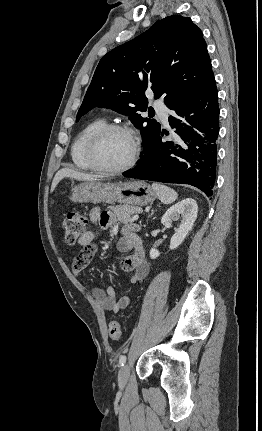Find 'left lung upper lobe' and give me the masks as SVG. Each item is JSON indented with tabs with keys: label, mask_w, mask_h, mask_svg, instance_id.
Segmentation results:
<instances>
[{
	"label": "left lung upper lobe",
	"mask_w": 262,
	"mask_h": 431,
	"mask_svg": "<svg viewBox=\"0 0 262 431\" xmlns=\"http://www.w3.org/2000/svg\"><path fill=\"white\" fill-rule=\"evenodd\" d=\"M213 78L201 30L189 17L169 16L102 57L76 121L96 106L111 108L141 130L145 149L160 131L159 123L136 113L147 110L145 91L173 109Z\"/></svg>",
	"instance_id": "1"
}]
</instances>
